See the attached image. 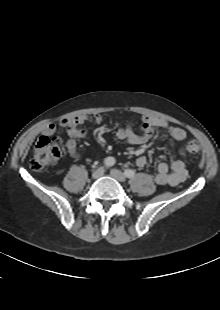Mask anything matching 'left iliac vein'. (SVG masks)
I'll use <instances>...</instances> for the list:
<instances>
[{"mask_svg": "<svg viewBox=\"0 0 220 310\" xmlns=\"http://www.w3.org/2000/svg\"><path fill=\"white\" fill-rule=\"evenodd\" d=\"M110 174L113 178H115L116 180L120 181V182H124L126 180V176L124 173H122L120 170L117 169H112L110 171Z\"/></svg>", "mask_w": 220, "mask_h": 310, "instance_id": "left-iliac-vein-1", "label": "left iliac vein"}]
</instances>
